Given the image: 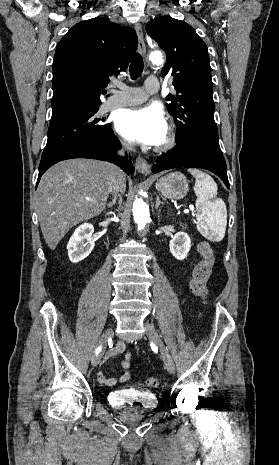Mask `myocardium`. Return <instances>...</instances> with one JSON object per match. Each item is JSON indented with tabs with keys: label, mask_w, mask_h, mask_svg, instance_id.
I'll return each instance as SVG.
<instances>
[{
	"label": "myocardium",
	"mask_w": 279,
	"mask_h": 465,
	"mask_svg": "<svg viewBox=\"0 0 279 465\" xmlns=\"http://www.w3.org/2000/svg\"><path fill=\"white\" fill-rule=\"evenodd\" d=\"M176 141V133L172 126L167 129L166 137L162 143H159L156 147V151H166L172 148Z\"/></svg>",
	"instance_id": "myocardium-1"
}]
</instances>
